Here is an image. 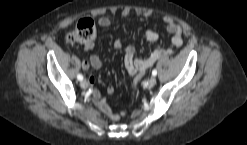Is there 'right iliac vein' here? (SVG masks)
<instances>
[{
  "label": "right iliac vein",
  "mask_w": 247,
  "mask_h": 145,
  "mask_svg": "<svg viewBox=\"0 0 247 145\" xmlns=\"http://www.w3.org/2000/svg\"><path fill=\"white\" fill-rule=\"evenodd\" d=\"M80 86H81V88H83V89H87L88 86H89V84H88V82H87L86 80H82V81L80 82Z\"/></svg>",
  "instance_id": "obj_1"
}]
</instances>
